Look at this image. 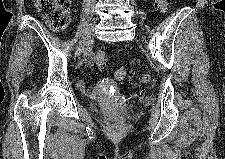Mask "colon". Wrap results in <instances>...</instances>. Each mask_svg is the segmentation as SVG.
Listing matches in <instances>:
<instances>
[{
	"mask_svg": "<svg viewBox=\"0 0 225 159\" xmlns=\"http://www.w3.org/2000/svg\"><path fill=\"white\" fill-rule=\"evenodd\" d=\"M71 0H37L36 6L38 11L47 20L49 26L53 31L60 32L69 23V9ZM156 6L160 12L165 13L168 9V3L166 0H157ZM94 59L99 68L105 69L108 66V56L105 51L99 49L95 52ZM128 70L126 68H118L114 72V77L118 81H123L128 76ZM151 81V74L144 72L138 76L135 83L138 85H144ZM117 121L125 119V115L122 111H118L115 115Z\"/></svg>",
	"mask_w": 225,
	"mask_h": 159,
	"instance_id": "5ec220e1",
	"label": "colon"
}]
</instances>
